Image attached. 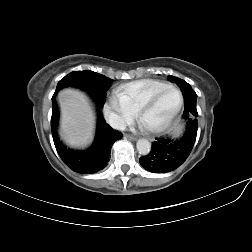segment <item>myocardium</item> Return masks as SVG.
Returning <instances> with one entry per match:
<instances>
[{"instance_id":"obj_1","label":"myocardium","mask_w":252,"mask_h":252,"mask_svg":"<svg viewBox=\"0 0 252 252\" xmlns=\"http://www.w3.org/2000/svg\"><path fill=\"white\" fill-rule=\"evenodd\" d=\"M167 92L176 93V95L178 96V102H177L175 108L171 111V113L167 116V118L164 121H162L161 123L154 125V126L145 127L146 130L150 133H160L170 127V125L173 123V121L175 120V118L177 117V115L179 114V112L182 108V105H183L182 93L178 89H176L172 86H169V87L159 91L155 95L151 96L143 104H141L139 106V108L137 109V118L139 121H141V117L143 116V114L146 111H148L152 106H154V104L158 100H160Z\"/></svg>"}]
</instances>
